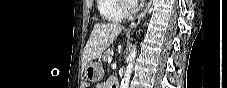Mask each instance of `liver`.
Wrapping results in <instances>:
<instances>
[{
    "mask_svg": "<svg viewBox=\"0 0 227 88\" xmlns=\"http://www.w3.org/2000/svg\"><path fill=\"white\" fill-rule=\"evenodd\" d=\"M118 23H96L83 51V63L97 59L121 33Z\"/></svg>",
    "mask_w": 227,
    "mask_h": 88,
    "instance_id": "obj_1",
    "label": "liver"
}]
</instances>
